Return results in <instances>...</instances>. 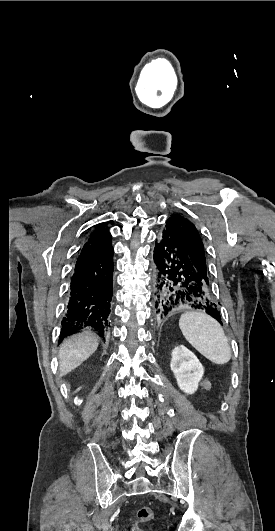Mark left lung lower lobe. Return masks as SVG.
Returning a JSON list of instances; mask_svg holds the SVG:
<instances>
[{
	"label": "left lung lower lobe",
	"instance_id": "obj_1",
	"mask_svg": "<svg viewBox=\"0 0 275 531\" xmlns=\"http://www.w3.org/2000/svg\"><path fill=\"white\" fill-rule=\"evenodd\" d=\"M153 261V300L158 319L172 310H203L222 324L209 282L203 279L182 239L168 223L156 239Z\"/></svg>",
	"mask_w": 275,
	"mask_h": 531
}]
</instances>
